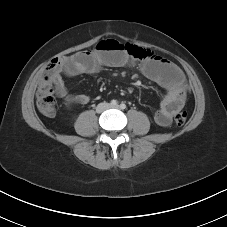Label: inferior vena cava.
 <instances>
[{
    "instance_id": "obj_1",
    "label": "inferior vena cava",
    "mask_w": 227,
    "mask_h": 227,
    "mask_svg": "<svg viewBox=\"0 0 227 227\" xmlns=\"http://www.w3.org/2000/svg\"><path fill=\"white\" fill-rule=\"evenodd\" d=\"M108 107L107 103H101L97 106L96 111L97 112H102Z\"/></svg>"
}]
</instances>
